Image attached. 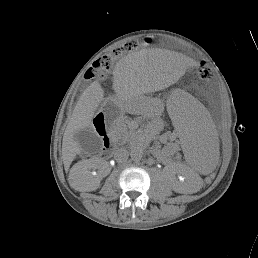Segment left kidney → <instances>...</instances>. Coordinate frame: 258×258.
<instances>
[{
	"label": "left kidney",
	"mask_w": 258,
	"mask_h": 258,
	"mask_svg": "<svg viewBox=\"0 0 258 258\" xmlns=\"http://www.w3.org/2000/svg\"><path fill=\"white\" fill-rule=\"evenodd\" d=\"M182 175L185 178V181L182 182H176L173 189L177 193L181 194H191L194 192L193 189V183H194V177L189 169H184L182 172Z\"/></svg>",
	"instance_id": "5707ae66"
}]
</instances>
